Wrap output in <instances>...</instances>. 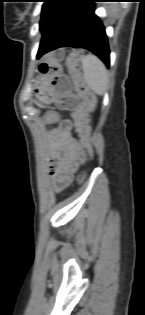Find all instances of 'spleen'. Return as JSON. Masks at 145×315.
<instances>
[{"instance_id": "3e777b00", "label": "spleen", "mask_w": 145, "mask_h": 315, "mask_svg": "<svg viewBox=\"0 0 145 315\" xmlns=\"http://www.w3.org/2000/svg\"><path fill=\"white\" fill-rule=\"evenodd\" d=\"M84 80L97 95H103L107 89L108 74L103 62L95 55L88 54L81 58Z\"/></svg>"}]
</instances>
